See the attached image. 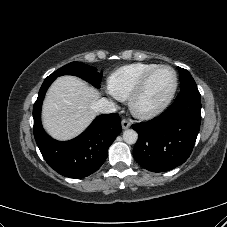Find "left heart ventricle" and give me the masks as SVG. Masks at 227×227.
<instances>
[{
    "label": "left heart ventricle",
    "instance_id": "1",
    "mask_svg": "<svg viewBox=\"0 0 227 227\" xmlns=\"http://www.w3.org/2000/svg\"><path fill=\"white\" fill-rule=\"evenodd\" d=\"M174 83L175 75L170 69L156 72L139 100L140 107L150 109L159 105L170 93Z\"/></svg>",
    "mask_w": 227,
    "mask_h": 227
}]
</instances>
